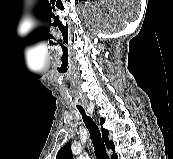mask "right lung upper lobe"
Returning <instances> with one entry per match:
<instances>
[{
	"label": "right lung upper lobe",
	"mask_w": 173,
	"mask_h": 159,
	"mask_svg": "<svg viewBox=\"0 0 173 159\" xmlns=\"http://www.w3.org/2000/svg\"><path fill=\"white\" fill-rule=\"evenodd\" d=\"M105 122L103 118L100 119L101 125ZM102 130V137L103 140L107 146V148H110L114 151V143L112 141L108 140V130L101 128ZM56 159H72V152H71V144L67 143L65 146H63L60 151L58 152ZM111 159H117V154H113L111 156Z\"/></svg>",
	"instance_id": "cb5924a9"
}]
</instances>
